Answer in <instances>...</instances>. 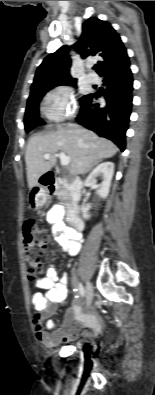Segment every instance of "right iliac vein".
<instances>
[{"instance_id":"right-iliac-vein-1","label":"right iliac vein","mask_w":155,"mask_h":395,"mask_svg":"<svg viewBox=\"0 0 155 395\" xmlns=\"http://www.w3.org/2000/svg\"><path fill=\"white\" fill-rule=\"evenodd\" d=\"M93 299V288L92 285L87 282L86 283V305L89 306Z\"/></svg>"}]
</instances>
